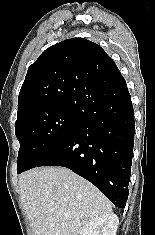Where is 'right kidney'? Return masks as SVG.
Instances as JSON below:
<instances>
[{
    "instance_id": "right-kidney-1",
    "label": "right kidney",
    "mask_w": 155,
    "mask_h": 235,
    "mask_svg": "<svg viewBox=\"0 0 155 235\" xmlns=\"http://www.w3.org/2000/svg\"><path fill=\"white\" fill-rule=\"evenodd\" d=\"M118 224L116 214H105L88 223L79 235H116Z\"/></svg>"
}]
</instances>
